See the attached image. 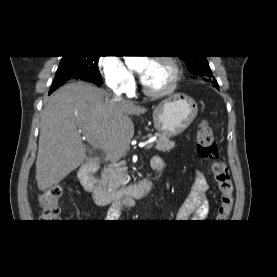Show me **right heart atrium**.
Listing matches in <instances>:
<instances>
[{"mask_svg": "<svg viewBox=\"0 0 277 277\" xmlns=\"http://www.w3.org/2000/svg\"><path fill=\"white\" fill-rule=\"evenodd\" d=\"M99 68L106 85L116 91H127L134 84L132 72L119 55H104L99 60Z\"/></svg>", "mask_w": 277, "mask_h": 277, "instance_id": "right-heart-atrium-1", "label": "right heart atrium"}]
</instances>
